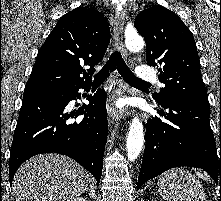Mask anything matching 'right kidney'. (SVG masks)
Wrapping results in <instances>:
<instances>
[{
  "label": "right kidney",
  "mask_w": 221,
  "mask_h": 201,
  "mask_svg": "<svg viewBox=\"0 0 221 201\" xmlns=\"http://www.w3.org/2000/svg\"><path fill=\"white\" fill-rule=\"evenodd\" d=\"M68 201H86L83 197H75V198H71Z\"/></svg>",
  "instance_id": "ca27d5eb"
}]
</instances>
